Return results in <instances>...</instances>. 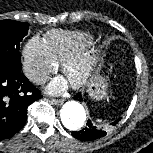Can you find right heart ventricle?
<instances>
[{
  "mask_svg": "<svg viewBox=\"0 0 153 153\" xmlns=\"http://www.w3.org/2000/svg\"><path fill=\"white\" fill-rule=\"evenodd\" d=\"M44 40L57 63H63L90 46L93 38L83 31L52 30L45 35Z\"/></svg>",
  "mask_w": 153,
  "mask_h": 153,
  "instance_id": "e07e8e85",
  "label": "right heart ventricle"
}]
</instances>
